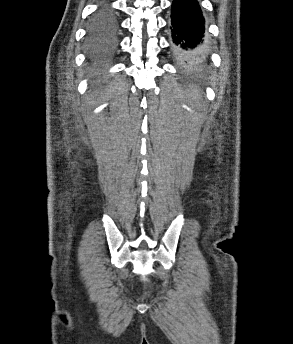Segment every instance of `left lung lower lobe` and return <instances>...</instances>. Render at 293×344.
I'll use <instances>...</instances> for the list:
<instances>
[{"label":"left lung lower lobe","mask_w":293,"mask_h":344,"mask_svg":"<svg viewBox=\"0 0 293 344\" xmlns=\"http://www.w3.org/2000/svg\"><path fill=\"white\" fill-rule=\"evenodd\" d=\"M171 19L176 56L184 61L204 59L207 55L203 45L205 19L197 0H173Z\"/></svg>","instance_id":"left-lung-lower-lobe-1"}]
</instances>
